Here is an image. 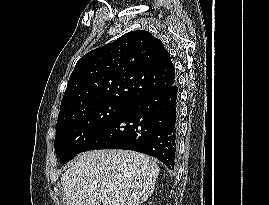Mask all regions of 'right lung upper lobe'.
I'll return each mask as SVG.
<instances>
[{"instance_id":"cb5924a9","label":"right lung upper lobe","mask_w":269,"mask_h":205,"mask_svg":"<svg viewBox=\"0 0 269 205\" xmlns=\"http://www.w3.org/2000/svg\"><path fill=\"white\" fill-rule=\"evenodd\" d=\"M175 82V69L162 42L148 31H132L77 62L58 119L97 103L131 104Z\"/></svg>"}]
</instances>
